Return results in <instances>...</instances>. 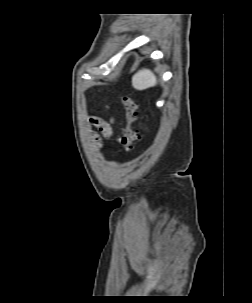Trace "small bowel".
Segmentation results:
<instances>
[{"label": "small bowel", "mask_w": 252, "mask_h": 303, "mask_svg": "<svg viewBox=\"0 0 252 303\" xmlns=\"http://www.w3.org/2000/svg\"><path fill=\"white\" fill-rule=\"evenodd\" d=\"M91 124L96 129L97 133L103 138H110L112 135V124L105 122L97 117L91 118Z\"/></svg>", "instance_id": "small-bowel-1"}]
</instances>
